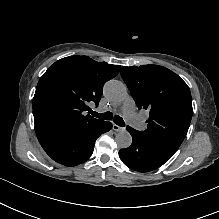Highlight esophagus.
<instances>
[{"instance_id":"esophagus-1","label":"esophagus","mask_w":219,"mask_h":219,"mask_svg":"<svg viewBox=\"0 0 219 219\" xmlns=\"http://www.w3.org/2000/svg\"><path fill=\"white\" fill-rule=\"evenodd\" d=\"M113 130L117 131V132H120V131L124 130V127H120L116 124H113Z\"/></svg>"}]
</instances>
